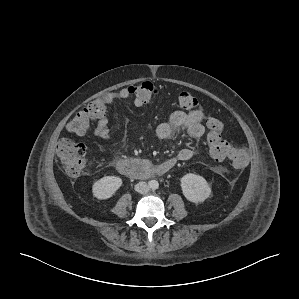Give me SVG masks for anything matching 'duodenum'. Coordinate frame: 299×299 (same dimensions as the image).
I'll return each mask as SVG.
<instances>
[{"label":"duodenum","instance_id":"obj_1","mask_svg":"<svg viewBox=\"0 0 299 299\" xmlns=\"http://www.w3.org/2000/svg\"><path fill=\"white\" fill-rule=\"evenodd\" d=\"M120 174L133 178H148L162 175L163 171L145 159H121L116 163Z\"/></svg>","mask_w":299,"mask_h":299}]
</instances>
